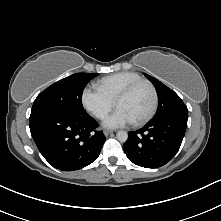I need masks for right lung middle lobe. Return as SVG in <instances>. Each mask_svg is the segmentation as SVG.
I'll return each instance as SVG.
<instances>
[{
    "label": "right lung middle lobe",
    "instance_id": "right-lung-middle-lobe-1",
    "mask_svg": "<svg viewBox=\"0 0 221 221\" xmlns=\"http://www.w3.org/2000/svg\"><path fill=\"white\" fill-rule=\"evenodd\" d=\"M98 73H78L61 79L35 99L30 117L46 112H71L84 114L82 93L86 84Z\"/></svg>",
    "mask_w": 221,
    "mask_h": 221
}]
</instances>
